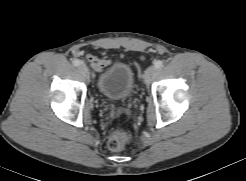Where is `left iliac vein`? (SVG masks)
Here are the masks:
<instances>
[{
	"instance_id": "left-iliac-vein-1",
	"label": "left iliac vein",
	"mask_w": 246,
	"mask_h": 181,
	"mask_svg": "<svg viewBox=\"0 0 246 181\" xmlns=\"http://www.w3.org/2000/svg\"><path fill=\"white\" fill-rule=\"evenodd\" d=\"M157 72H158V69L155 66L148 67L144 74V82L146 84L151 83L155 75L157 74Z\"/></svg>"
}]
</instances>
